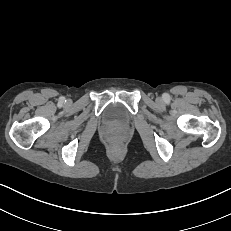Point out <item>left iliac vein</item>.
Returning a JSON list of instances; mask_svg holds the SVG:
<instances>
[{
	"label": "left iliac vein",
	"mask_w": 231,
	"mask_h": 231,
	"mask_svg": "<svg viewBox=\"0 0 231 231\" xmlns=\"http://www.w3.org/2000/svg\"><path fill=\"white\" fill-rule=\"evenodd\" d=\"M156 101H157V103H163V99L161 98V97H158L157 99H156Z\"/></svg>",
	"instance_id": "obj_1"
}]
</instances>
